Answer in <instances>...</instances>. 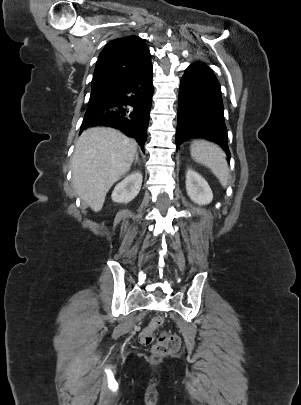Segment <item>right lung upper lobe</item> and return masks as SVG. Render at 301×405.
Returning <instances> with one entry per match:
<instances>
[{
  "label": "right lung upper lobe",
  "instance_id": "cb5924a9",
  "mask_svg": "<svg viewBox=\"0 0 301 405\" xmlns=\"http://www.w3.org/2000/svg\"><path fill=\"white\" fill-rule=\"evenodd\" d=\"M150 60L149 49L138 36H126L110 41L97 60L91 93H113Z\"/></svg>",
  "mask_w": 301,
  "mask_h": 405
}]
</instances>
